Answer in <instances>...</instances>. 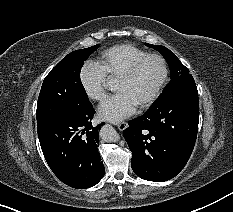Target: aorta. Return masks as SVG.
Instances as JSON below:
<instances>
[{"label": "aorta", "mask_w": 233, "mask_h": 212, "mask_svg": "<svg viewBox=\"0 0 233 212\" xmlns=\"http://www.w3.org/2000/svg\"><path fill=\"white\" fill-rule=\"evenodd\" d=\"M100 137L105 142H116L119 140L117 131L111 125H104L100 130Z\"/></svg>", "instance_id": "762f6f07"}]
</instances>
